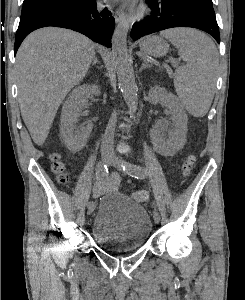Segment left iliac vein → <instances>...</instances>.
Wrapping results in <instances>:
<instances>
[{"instance_id": "4c4485c4", "label": "left iliac vein", "mask_w": 245, "mask_h": 300, "mask_svg": "<svg viewBox=\"0 0 245 300\" xmlns=\"http://www.w3.org/2000/svg\"><path fill=\"white\" fill-rule=\"evenodd\" d=\"M110 165L116 167L119 170H122V165L128 163L124 159L116 156L114 153H111L109 162ZM127 173V172H126ZM153 218L156 223L160 222V214L157 211L153 212Z\"/></svg>"}]
</instances>
